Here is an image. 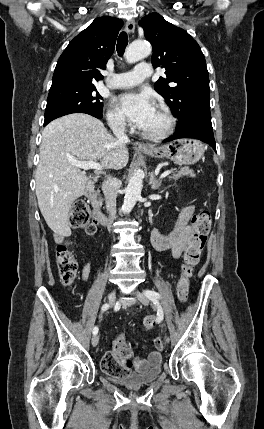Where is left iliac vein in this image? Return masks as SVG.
Segmentation results:
<instances>
[{
  "instance_id": "1",
  "label": "left iliac vein",
  "mask_w": 264,
  "mask_h": 429,
  "mask_svg": "<svg viewBox=\"0 0 264 429\" xmlns=\"http://www.w3.org/2000/svg\"><path fill=\"white\" fill-rule=\"evenodd\" d=\"M134 294H135V296L138 298V300L143 304V305H145V306H147L148 304H149V300H148V298L145 296V294H143V293H141L140 291H138V290H135L134 291ZM166 338H165V341L166 342H169L170 341V336L167 334L166 336H165Z\"/></svg>"
}]
</instances>
